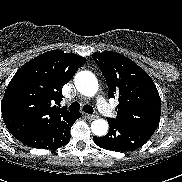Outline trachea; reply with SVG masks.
Wrapping results in <instances>:
<instances>
[{
  "mask_svg": "<svg viewBox=\"0 0 182 182\" xmlns=\"http://www.w3.org/2000/svg\"><path fill=\"white\" fill-rule=\"evenodd\" d=\"M80 103L75 101L73 102L70 106H69V110L71 111H77L80 109ZM83 111L86 112V113H89V114H92L93 113V107L89 106V105H85L83 107Z\"/></svg>",
  "mask_w": 182,
  "mask_h": 182,
  "instance_id": "trachea-1",
  "label": "trachea"
}]
</instances>
